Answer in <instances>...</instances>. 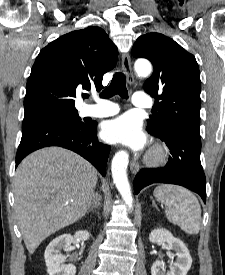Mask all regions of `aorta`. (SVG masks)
Wrapping results in <instances>:
<instances>
[{
    "label": "aorta",
    "instance_id": "1",
    "mask_svg": "<svg viewBox=\"0 0 225 275\" xmlns=\"http://www.w3.org/2000/svg\"><path fill=\"white\" fill-rule=\"evenodd\" d=\"M134 70L138 77H147L152 72V66L148 61H137ZM129 163V155L125 151H119L112 159L111 171L113 182L115 183L125 204L132 208L133 197L127 176V166Z\"/></svg>",
    "mask_w": 225,
    "mask_h": 275
}]
</instances>
